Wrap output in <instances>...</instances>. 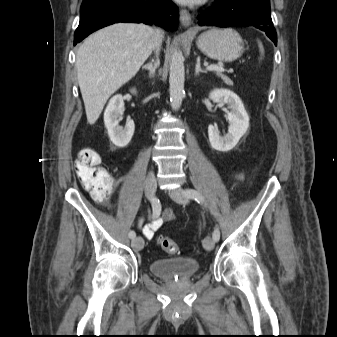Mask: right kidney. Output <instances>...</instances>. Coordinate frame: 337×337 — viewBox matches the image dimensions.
Returning <instances> with one entry per match:
<instances>
[{
    "mask_svg": "<svg viewBox=\"0 0 337 337\" xmlns=\"http://www.w3.org/2000/svg\"><path fill=\"white\" fill-rule=\"evenodd\" d=\"M136 93L135 90L131 91ZM124 112V101L122 95L113 96L104 112V123L107 128L109 138L111 142L119 147L123 148L128 145L134 134V121L128 119L125 127L119 126V120L122 119Z\"/></svg>",
    "mask_w": 337,
    "mask_h": 337,
    "instance_id": "obj_1",
    "label": "right kidney"
}]
</instances>
